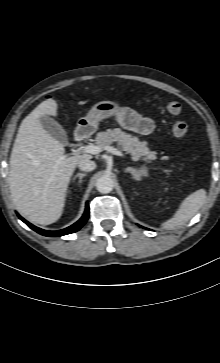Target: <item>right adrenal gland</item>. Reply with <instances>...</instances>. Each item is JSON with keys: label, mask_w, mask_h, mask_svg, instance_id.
I'll return each mask as SVG.
<instances>
[{"label": "right adrenal gland", "mask_w": 220, "mask_h": 363, "mask_svg": "<svg viewBox=\"0 0 220 363\" xmlns=\"http://www.w3.org/2000/svg\"><path fill=\"white\" fill-rule=\"evenodd\" d=\"M87 174L86 173H77L74 177L73 180H75L77 177H79V186L80 183L82 182L83 177H85Z\"/></svg>", "instance_id": "2a0ac1e0"}]
</instances>
